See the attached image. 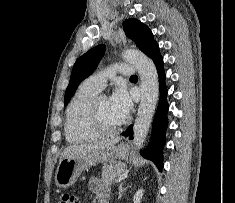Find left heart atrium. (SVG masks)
Instances as JSON below:
<instances>
[{
  "label": "left heart atrium",
  "mask_w": 235,
  "mask_h": 203,
  "mask_svg": "<svg viewBox=\"0 0 235 203\" xmlns=\"http://www.w3.org/2000/svg\"><path fill=\"white\" fill-rule=\"evenodd\" d=\"M110 105L115 113L125 120L131 110V99L123 87H118L109 98Z\"/></svg>",
  "instance_id": "1"
}]
</instances>
